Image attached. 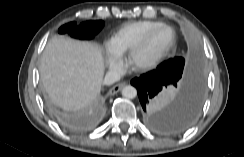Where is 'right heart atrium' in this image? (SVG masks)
<instances>
[{"label":"right heart atrium","instance_id":"obj_1","mask_svg":"<svg viewBox=\"0 0 244 157\" xmlns=\"http://www.w3.org/2000/svg\"><path fill=\"white\" fill-rule=\"evenodd\" d=\"M106 52H107V61L109 66L113 69L119 68L120 67L119 57L112 51L110 45L106 46Z\"/></svg>","mask_w":244,"mask_h":157}]
</instances>
